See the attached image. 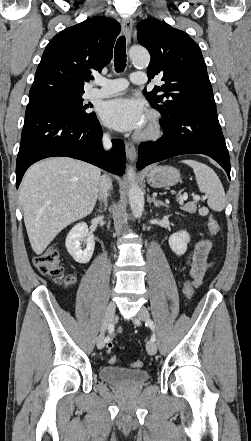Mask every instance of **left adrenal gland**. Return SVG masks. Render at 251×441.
<instances>
[{
    "mask_svg": "<svg viewBox=\"0 0 251 441\" xmlns=\"http://www.w3.org/2000/svg\"><path fill=\"white\" fill-rule=\"evenodd\" d=\"M150 202H153L155 207H160V206H164V207H168L166 204H164L162 201L157 200L154 196L152 198H150Z\"/></svg>",
    "mask_w": 251,
    "mask_h": 441,
    "instance_id": "obj_1",
    "label": "left adrenal gland"
}]
</instances>
